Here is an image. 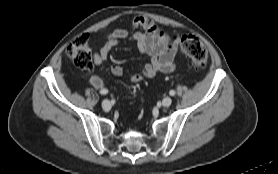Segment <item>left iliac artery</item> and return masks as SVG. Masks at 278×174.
Returning a JSON list of instances; mask_svg holds the SVG:
<instances>
[{"instance_id": "44dca946", "label": "left iliac artery", "mask_w": 278, "mask_h": 174, "mask_svg": "<svg viewBox=\"0 0 278 174\" xmlns=\"http://www.w3.org/2000/svg\"><path fill=\"white\" fill-rule=\"evenodd\" d=\"M169 94H170L171 96H174V95H175V91H174V90H170Z\"/></svg>"}]
</instances>
